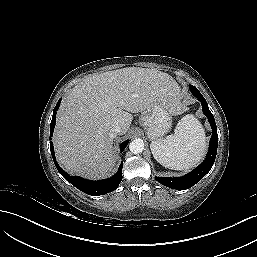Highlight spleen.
<instances>
[{
    "label": "spleen",
    "instance_id": "spleen-1",
    "mask_svg": "<svg viewBox=\"0 0 257 257\" xmlns=\"http://www.w3.org/2000/svg\"><path fill=\"white\" fill-rule=\"evenodd\" d=\"M150 148L156 161L164 167L186 170L204 156L205 132L193 115H186L178 122L174 134L152 141Z\"/></svg>",
    "mask_w": 257,
    "mask_h": 257
}]
</instances>
